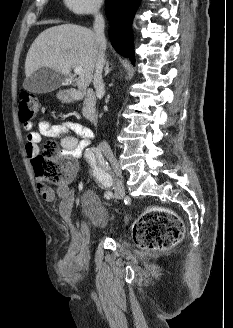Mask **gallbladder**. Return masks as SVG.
<instances>
[{
    "mask_svg": "<svg viewBox=\"0 0 233 328\" xmlns=\"http://www.w3.org/2000/svg\"><path fill=\"white\" fill-rule=\"evenodd\" d=\"M62 82L63 78L55 70L42 67L26 78L23 86L29 92L43 94L56 90Z\"/></svg>",
    "mask_w": 233,
    "mask_h": 328,
    "instance_id": "1",
    "label": "gallbladder"
}]
</instances>
